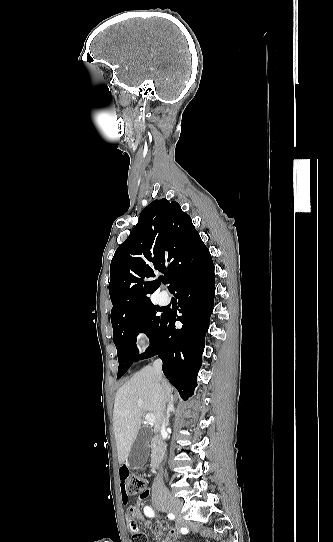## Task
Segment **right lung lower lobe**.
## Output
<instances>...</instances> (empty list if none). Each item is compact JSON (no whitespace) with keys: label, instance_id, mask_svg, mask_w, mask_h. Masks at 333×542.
<instances>
[{"label":"right lung lower lobe","instance_id":"right-lung-lower-lobe-1","mask_svg":"<svg viewBox=\"0 0 333 542\" xmlns=\"http://www.w3.org/2000/svg\"><path fill=\"white\" fill-rule=\"evenodd\" d=\"M176 277L169 287L177 292L180 316L166 312L154 343L140 359L158 355L163 372L184 399L193 395L202 364L205 335L213 311L214 265L208 248L200 239L176 253ZM183 323L176 329L175 322Z\"/></svg>","mask_w":333,"mask_h":542}]
</instances>
